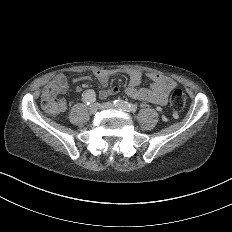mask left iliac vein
Instances as JSON below:
<instances>
[{
	"label": "left iliac vein",
	"mask_w": 232,
	"mask_h": 232,
	"mask_svg": "<svg viewBox=\"0 0 232 232\" xmlns=\"http://www.w3.org/2000/svg\"><path fill=\"white\" fill-rule=\"evenodd\" d=\"M93 108L94 109H98V110H101V109H110L111 105H110L109 102H106L105 104H103V103H94L93 104Z\"/></svg>",
	"instance_id": "4c4485c4"
}]
</instances>
